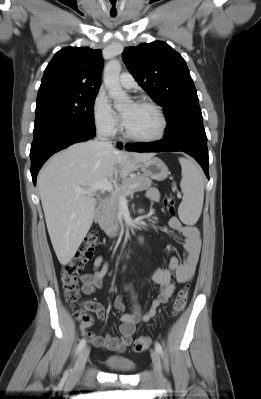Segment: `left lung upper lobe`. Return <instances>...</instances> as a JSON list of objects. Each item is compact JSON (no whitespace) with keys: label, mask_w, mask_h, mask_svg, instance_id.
Segmentation results:
<instances>
[{"label":"left lung upper lobe","mask_w":261,"mask_h":399,"mask_svg":"<svg viewBox=\"0 0 261 399\" xmlns=\"http://www.w3.org/2000/svg\"><path fill=\"white\" fill-rule=\"evenodd\" d=\"M123 60L138 84L165 110L164 137L203 125L197 91L183 57L167 43L154 41L127 47Z\"/></svg>","instance_id":"obj_1"}]
</instances>
